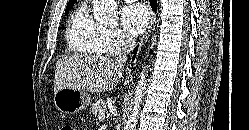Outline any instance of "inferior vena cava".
<instances>
[{
  "label": "inferior vena cava",
  "instance_id": "obj_1",
  "mask_svg": "<svg viewBox=\"0 0 249 130\" xmlns=\"http://www.w3.org/2000/svg\"><path fill=\"white\" fill-rule=\"evenodd\" d=\"M136 42L133 37H128L124 41V44L122 45V53L119 56L118 61L122 64H124L127 60V55L133 50Z\"/></svg>",
  "mask_w": 249,
  "mask_h": 130
}]
</instances>
